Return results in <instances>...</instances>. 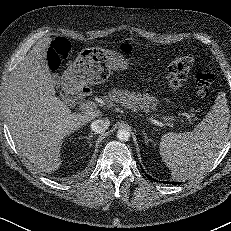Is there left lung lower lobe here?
Masks as SVG:
<instances>
[{
  "instance_id": "0a47b994",
  "label": "left lung lower lobe",
  "mask_w": 231,
  "mask_h": 231,
  "mask_svg": "<svg viewBox=\"0 0 231 231\" xmlns=\"http://www.w3.org/2000/svg\"><path fill=\"white\" fill-rule=\"evenodd\" d=\"M151 180H154L153 178H150ZM166 184H169V182H165ZM172 184H179L177 182H173Z\"/></svg>"
}]
</instances>
